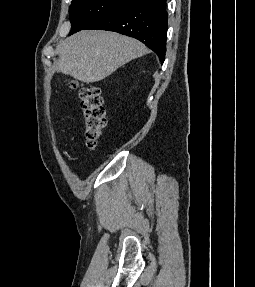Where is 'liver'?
I'll use <instances>...</instances> for the list:
<instances>
[{"label":"liver","mask_w":255,"mask_h":287,"mask_svg":"<svg viewBox=\"0 0 255 287\" xmlns=\"http://www.w3.org/2000/svg\"><path fill=\"white\" fill-rule=\"evenodd\" d=\"M148 52L138 40L115 32H78L61 44L58 66L64 74L91 84Z\"/></svg>","instance_id":"1"}]
</instances>
